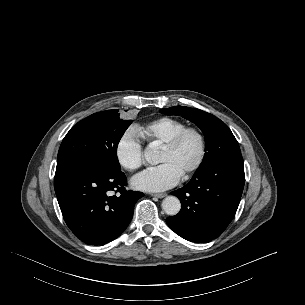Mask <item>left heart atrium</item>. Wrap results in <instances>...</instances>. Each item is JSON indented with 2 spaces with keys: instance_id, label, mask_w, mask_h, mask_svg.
Here are the masks:
<instances>
[{
  "instance_id": "left-heart-atrium-1",
  "label": "left heart atrium",
  "mask_w": 305,
  "mask_h": 305,
  "mask_svg": "<svg viewBox=\"0 0 305 305\" xmlns=\"http://www.w3.org/2000/svg\"><path fill=\"white\" fill-rule=\"evenodd\" d=\"M181 178V172L174 165L163 163L135 176L132 185L138 190L160 192L175 186Z\"/></svg>"
}]
</instances>
